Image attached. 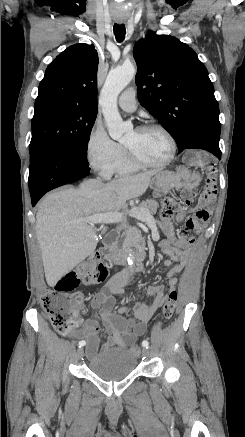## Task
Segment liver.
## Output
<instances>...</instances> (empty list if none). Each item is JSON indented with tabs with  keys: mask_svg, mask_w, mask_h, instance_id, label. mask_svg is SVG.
Returning a JSON list of instances; mask_svg holds the SVG:
<instances>
[{
	"mask_svg": "<svg viewBox=\"0 0 245 437\" xmlns=\"http://www.w3.org/2000/svg\"><path fill=\"white\" fill-rule=\"evenodd\" d=\"M156 173V170L146 171L108 183L87 180L77 189H61L42 200L35 230L49 286H55L96 249L99 229L75 221L95 214L118 212L127 200L145 193Z\"/></svg>",
	"mask_w": 245,
	"mask_h": 437,
	"instance_id": "liver-1",
	"label": "liver"
}]
</instances>
